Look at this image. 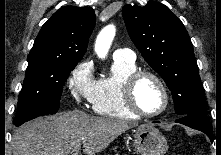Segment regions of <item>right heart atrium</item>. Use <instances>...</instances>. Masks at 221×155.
Listing matches in <instances>:
<instances>
[{"label":"right heart atrium","mask_w":221,"mask_h":155,"mask_svg":"<svg viewBox=\"0 0 221 155\" xmlns=\"http://www.w3.org/2000/svg\"><path fill=\"white\" fill-rule=\"evenodd\" d=\"M96 80L93 77V63L84 60L77 64L66 79V86L79 104H92Z\"/></svg>","instance_id":"right-heart-atrium-1"}]
</instances>
